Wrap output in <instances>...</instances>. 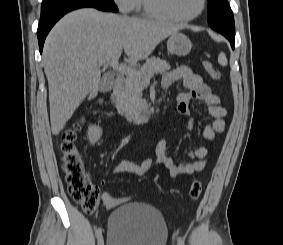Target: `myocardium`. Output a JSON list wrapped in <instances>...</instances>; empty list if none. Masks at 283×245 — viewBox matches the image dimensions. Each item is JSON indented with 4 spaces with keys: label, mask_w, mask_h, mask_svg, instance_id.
<instances>
[{
    "label": "myocardium",
    "mask_w": 283,
    "mask_h": 245,
    "mask_svg": "<svg viewBox=\"0 0 283 245\" xmlns=\"http://www.w3.org/2000/svg\"><path fill=\"white\" fill-rule=\"evenodd\" d=\"M146 11L159 19L172 21V22H190L198 18L205 10L207 5V0H201V5L199 10L192 16L189 17H176L170 15L163 7V0H143Z\"/></svg>",
    "instance_id": "obj_1"
}]
</instances>
